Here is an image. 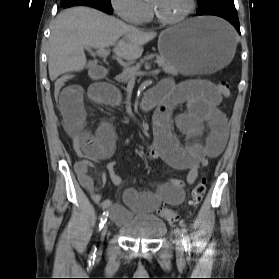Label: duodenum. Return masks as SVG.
Instances as JSON below:
<instances>
[{
	"label": "duodenum",
	"mask_w": 279,
	"mask_h": 279,
	"mask_svg": "<svg viewBox=\"0 0 279 279\" xmlns=\"http://www.w3.org/2000/svg\"><path fill=\"white\" fill-rule=\"evenodd\" d=\"M108 75V70L103 66H96L90 70V76L96 80H102ZM140 107L143 110H150L159 104L158 100L149 97L148 94L140 100Z\"/></svg>",
	"instance_id": "1"
}]
</instances>
